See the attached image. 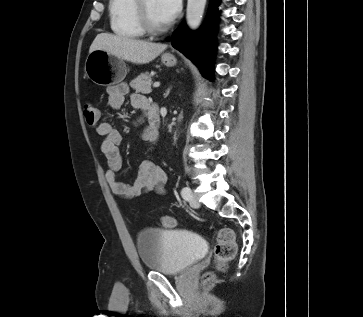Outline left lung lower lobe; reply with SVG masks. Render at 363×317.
<instances>
[{
    "label": "left lung lower lobe",
    "instance_id": "left-lung-lower-lobe-1",
    "mask_svg": "<svg viewBox=\"0 0 363 317\" xmlns=\"http://www.w3.org/2000/svg\"><path fill=\"white\" fill-rule=\"evenodd\" d=\"M211 0V9L206 26L192 33L185 25H180L172 34V45L199 67L202 74L212 80L213 34L216 20V3Z\"/></svg>",
    "mask_w": 363,
    "mask_h": 317
}]
</instances>
